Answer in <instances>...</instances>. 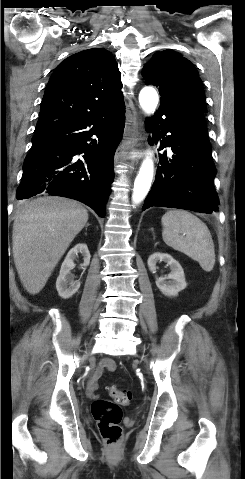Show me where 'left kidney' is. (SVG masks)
I'll list each match as a JSON object with an SVG mask.
<instances>
[{"label": "left kidney", "mask_w": 245, "mask_h": 479, "mask_svg": "<svg viewBox=\"0 0 245 479\" xmlns=\"http://www.w3.org/2000/svg\"><path fill=\"white\" fill-rule=\"evenodd\" d=\"M164 261L170 267L171 272L165 277H156V285L159 290L166 296H177L187 286L184 271L171 255L167 253L156 252L152 254L147 261L149 270L156 273L157 263Z\"/></svg>", "instance_id": "obj_1"}]
</instances>
